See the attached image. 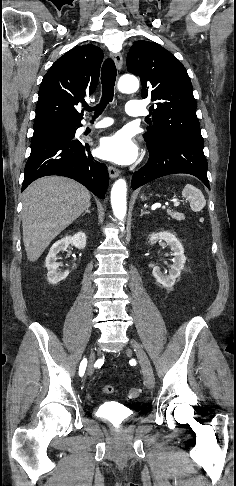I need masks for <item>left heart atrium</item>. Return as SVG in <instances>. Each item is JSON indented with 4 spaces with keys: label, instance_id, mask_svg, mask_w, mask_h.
I'll use <instances>...</instances> for the list:
<instances>
[{
    "label": "left heart atrium",
    "instance_id": "left-heart-atrium-1",
    "mask_svg": "<svg viewBox=\"0 0 236 486\" xmlns=\"http://www.w3.org/2000/svg\"><path fill=\"white\" fill-rule=\"evenodd\" d=\"M99 155L105 160L121 165H127L133 163L137 159L139 149L128 133L125 131H118L101 140Z\"/></svg>",
    "mask_w": 236,
    "mask_h": 486
}]
</instances>
